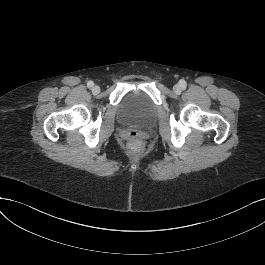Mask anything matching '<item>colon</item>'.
Returning <instances> with one entry per match:
<instances>
[{
    "mask_svg": "<svg viewBox=\"0 0 265 265\" xmlns=\"http://www.w3.org/2000/svg\"><path fill=\"white\" fill-rule=\"evenodd\" d=\"M124 138L129 141L134 150L138 149L141 140V134L138 131H128L124 134Z\"/></svg>",
    "mask_w": 265,
    "mask_h": 265,
    "instance_id": "colon-1",
    "label": "colon"
}]
</instances>
